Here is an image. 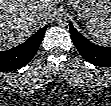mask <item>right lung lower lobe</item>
<instances>
[{"instance_id": "98d812e1", "label": "right lung lower lobe", "mask_w": 111, "mask_h": 106, "mask_svg": "<svg viewBox=\"0 0 111 106\" xmlns=\"http://www.w3.org/2000/svg\"><path fill=\"white\" fill-rule=\"evenodd\" d=\"M46 29L47 26H44L17 47L0 51V71H11L25 66L39 48Z\"/></svg>"}]
</instances>
